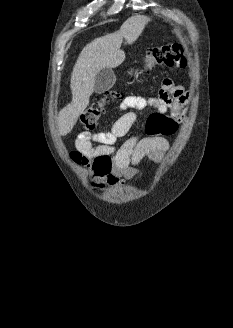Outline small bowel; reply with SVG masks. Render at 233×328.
<instances>
[{
    "label": "small bowel",
    "mask_w": 233,
    "mask_h": 328,
    "mask_svg": "<svg viewBox=\"0 0 233 328\" xmlns=\"http://www.w3.org/2000/svg\"><path fill=\"white\" fill-rule=\"evenodd\" d=\"M189 100V93L171 79H164L157 97L127 96L117 106L125 113L120 116L106 132H82L76 139V147L85 152L93 143L99 144L98 149L111 156L112 170L104 178L100 188L105 185H122L125 180L136 178L140 171L137 168L144 158L161 161L169 149L168 141L163 137L141 138L132 136L121 146L116 142L127 135L136 120V114L131 110H143L153 107L158 112L169 113L179 120L184 116V107Z\"/></svg>",
    "instance_id": "c3829d8e"
}]
</instances>
